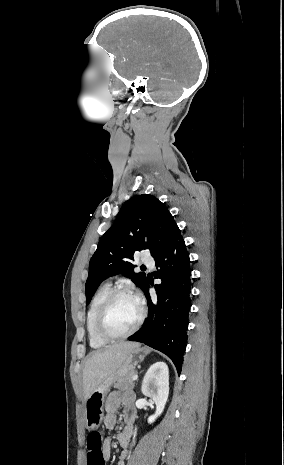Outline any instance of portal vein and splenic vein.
Here are the masks:
<instances>
[{
    "instance_id": "18ae733b",
    "label": "portal vein and splenic vein",
    "mask_w": 284,
    "mask_h": 465,
    "mask_svg": "<svg viewBox=\"0 0 284 465\" xmlns=\"http://www.w3.org/2000/svg\"><path fill=\"white\" fill-rule=\"evenodd\" d=\"M136 379H138V375H134L133 381H136Z\"/></svg>"
}]
</instances>
